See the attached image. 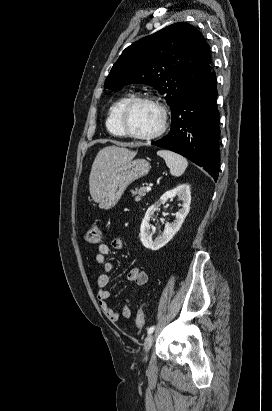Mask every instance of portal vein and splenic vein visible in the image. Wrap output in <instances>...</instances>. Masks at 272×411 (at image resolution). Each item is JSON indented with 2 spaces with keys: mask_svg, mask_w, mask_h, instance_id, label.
<instances>
[{
  "mask_svg": "<svg viewBox=\"0 0 272 411\" xmlns=\"http://www.w3.org/2000/svg\"><path fill=\"white\" fill-rule=\"evenodd\" d=\"M146 190H147V191H150V190H151V186H150V185H147Z\"/></svg>",
  "mask_w": 272,
  "mask_h": 411,
  "instance_id": "1",
  "label": "portal vein and splenic vein"
}]
</instances>
